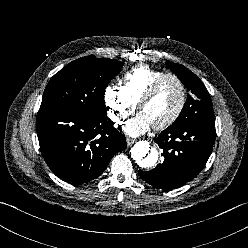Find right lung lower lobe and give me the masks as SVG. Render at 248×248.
Returning <instances> with one entry per match:
<instances>
[{
    "instance_id": "right-lung-lower-lobe-1",
    "label": "right lung lower lobe",
    "mask_w": 248,
    "mask_h": 248,
    "mask_svg": "<svg viewBox=\"0 0 248 248\" xmlns=\"http://www.w3.org/2000/svg\"><path fill=\"white\" fill-rule=\"evenodd\" d=\"M112 124L107 117L39 109L36 130L42 156L62 180L91 181L103 173L115 153L126 148V138Z\"/></svg>"
}]
</instances>
